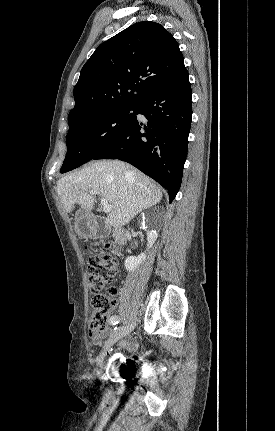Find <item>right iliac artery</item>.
<instances>
[{
  "mask_svg": "<svg viewBox=\"0 0 275 431\" xmlns=\"http://www.w3.org/2000/svg\"><path fill=\"white\" fill-rule=\"evenodd\" d=\"M120 319L117 315H114L110 318V324L111 325H117L119 323ZM117 327L114 328V331H116Z\"/></svg>",
  "mask_w": 275,
  "mask_h": 431,
  "instance_id": "1",
  "label": "right iliac artery"
}]
</instances>
